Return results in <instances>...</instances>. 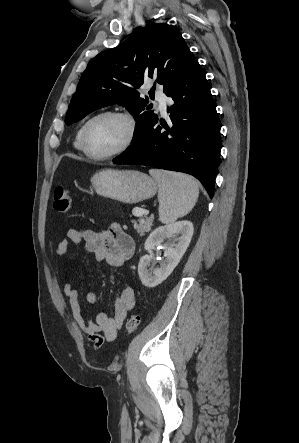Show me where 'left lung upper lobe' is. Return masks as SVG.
Instances as JSON below:
<instances>
[{
    "label": "left lung upper lobe",
    "instance_id": "1",
    "mask_svg": "<svg viewBox=\"0 0 299 443\" xmlns=\"http://www.w3.org/2000/svg\"><path fill=\"white\" fill-rule=\"evenodd\" d=\"M197 63L178 30L165 23L148 24L89 62L65 123L71 125L99 108L119 104L134 116L135 142L158 118L149 111L148 98L137 91L144 79H155L166 94Z\"/></svg>",
    "mask_w": 299,
    "mask_h": 443
}]
</instances>
